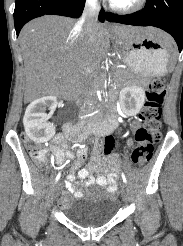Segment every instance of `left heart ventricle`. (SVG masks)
<instances>
[{
    "instance_id": "1",
    "label": "left heart ventricle",
    "mask_w": 183,
    "mask_h": 246,
    "mask_svg": "<svg viewBox=\"0 0 183 246\" xmlns=\"http://www.w3.org/2000/svg\"><path fill=\"white\" fill-rule=\"evenodd\" d=\"M113 1H115L116 3L121 4V5H128V4L132 3L134 0H113Z\"/></svg>"
}]
</instances>
